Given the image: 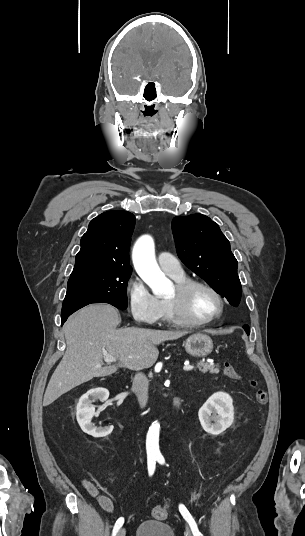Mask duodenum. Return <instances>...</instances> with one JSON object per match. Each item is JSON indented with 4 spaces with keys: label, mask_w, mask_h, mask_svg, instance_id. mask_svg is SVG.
Instances as JSON below:
<instances>
[{
    "label": "duodenum",
    "mask_w": 305,
    "mask_h": 536,
    "mask_svg": "<svg viewBox=\"0 0 305 536\" xmlns=\"http://www.w3.org/2000/svg\"><path fill=\"white\" fill-rule=\"evenodd\" d=\"M173 409L175 412H178L179 409H180V401L179 400H176L173 404Z\"/></svg>",
    "instance_id": "1"
}]
</instances>
